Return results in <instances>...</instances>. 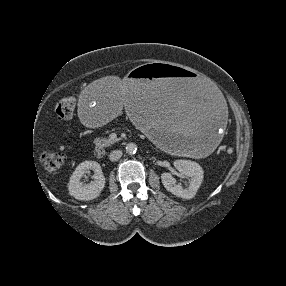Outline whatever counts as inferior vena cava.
Instances as JSON below:
<instances>
[{
    "label": "inferior vena cava",
    "instance_id": "1",
    "mask_svg": "<svg viewBox=\"0 0 286 286\" xmlns=\"http://www.w3.org/2000/svg\"><path fill=\"white\" fill-rule=\"evenodd\" d=\"M122 154H123V153H122L121 150H114V151H112V152L110 153L109 159H110L111 161H117V160H119V159L121 158Z\"/></svg>",
    "mask_w": 286,
    "mask_h": 286
}]
</instances>
